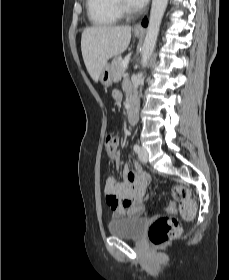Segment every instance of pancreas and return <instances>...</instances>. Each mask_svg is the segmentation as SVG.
I'll use <instances>...</instances> for the list:
<instances>
[{"instance_id": "pancreas-1", "label": "pancreas", "mask_w": 229, "mask_h": 280, "mask_svg": "<svg viewBox=\"0 0 229 280\" xmlns=\"http://www.w3.org/2000/svg\"><path fill=\"white\" fill-rule=\"evenodd\" d=\"M122 62V57L116 56L111 63L112 77L115 82L119 81L125 72L126 68L122 67Z\"/></svg>"}]
</instances>
